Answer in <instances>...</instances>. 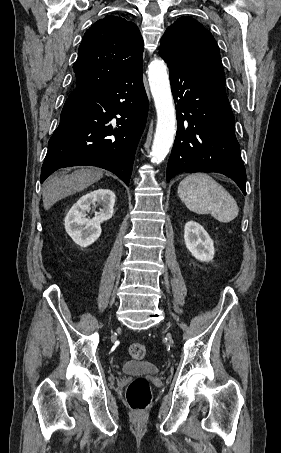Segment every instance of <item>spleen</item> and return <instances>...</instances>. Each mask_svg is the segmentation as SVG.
I'll return each mask as SVG.
<instances>
[{
	"label": "spleen",
	"mask_w": 281,
	"mask_h": 453,
	"mask_svg": "<svg viewBox=\"0 0 281 453\" xmlns=\"http://www.w3.org/2000/svg\"><path fill=\"white\" fill-rule=\"evenodd\" d=\"M178 194L189 210L212 214L220 222H230L239 212L238 204L217 180L204 172L188 174L178 186Z\"/></svg>",
	"instance_id": "obj_1"
}]
</instances>
